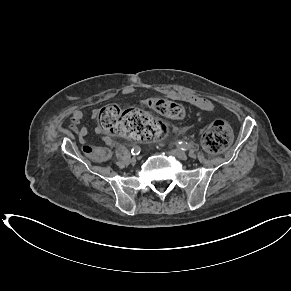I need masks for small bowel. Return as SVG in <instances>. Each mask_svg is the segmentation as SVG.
I'll return each instance as SVG.
<instances>
[{"mask_svg":"<svg viewBox=\"0 0 291 291\" xmlns=\"http://www.w3.org/2000/svg\"><path fill=\"white\" fill-rule=\"evenodd\" d=\"M183 101L189 105H192L200 110L214 113L215 112V105L208 99L199 96H184ZM85 118V113L81 110H75L70 119V129L78 135L79 141L81 144H86V138L89 134V130L81 126L82 121ZM96 132L99 133L100 130L97 128ZM103 141L110 145L112 144V139L109 136H103Z\"/></svg>","mask_w":291,"mask_h":291,"instance_id":"1","label":"small bowel"}]
</instances>
